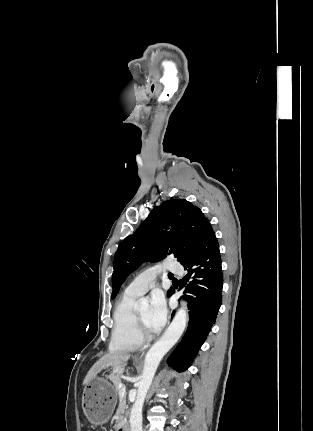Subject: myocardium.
<instances>
[{"label": "myocardium", "instance_id": "1", "mask_svg": "<svg viewBox=\"0 0 313 431\" xmlns=\"http://www.w3.org/2000/svg\"><path fill=\"white\" fill-rule=\"evenodd\" d=\"M135 328L136 335L141 342L150 341L153 339L154 334L146 330L138 311H135Z\"/></svg>", "mask_w": 313, "mask_h": 431}]
</instances>
